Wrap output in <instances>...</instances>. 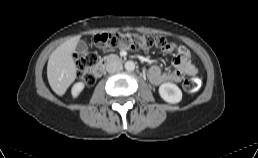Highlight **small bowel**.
I'll use <instances>...</instances> for the list:
<instances>
[{"label":"small bowel","instance_id":"small-bowel-1","mask_svg":"<svg viewBox=\"0 0 258 158\" xmlns=\"http://www.w3.org/2000/svg\"><path fill=\"white\" fill-rule=\"evenodd\" d=\"M178 54L173 58V71L164 72L160 67L154 65L148 70V78L154 85H160L165 82H180L185 75L194 76L198 69L190 60V51L184 46H175ZM171 51V50H170Z\"/></svg>","mask_w":258,"mask_h":158}]
</instances>
